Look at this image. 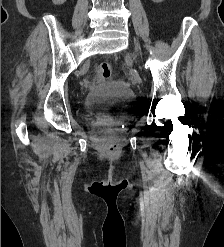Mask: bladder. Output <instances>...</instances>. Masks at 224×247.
I'll list each match as a JSON object with an SVG mask.
<instances>
[{
  "label": "bladder",
  "instance_id": "31cf9c89",
  "mask_svg": "<svg viewBox=\"0 0 224 247\" xmlns=\"http://www.w3.org/2000/svg\"><path fill=\"white\" fill-rule=\"evenodd\" d=\"M136 102L134 92L119 82H107L95 86L82 103L86 119L108 118L114 122L130 119Z\"/></svg>",
  "mask_w": 224,
  "mask_h": 247
}]
</instances>
